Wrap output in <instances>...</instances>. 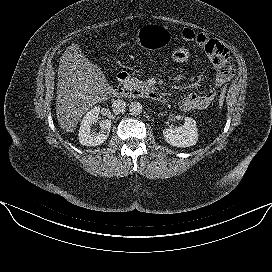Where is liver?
Instances as JSON below:
<instances>
[{"mask_svg":"<svg viewBox=\"0 0 272 272\" xmlns=\"http://www.w3.org/2000/svg\"><path fill=\"white\" fill-rule=\"evenodd\" d=\"M112 91L102 70L84 56L77 44L69 46L58 68L56 115L60 128L73 132L90 107L107 100Z\"/></svg>","mask_w":272,"mask_h":272,"instance_id":"1","label":"liver"}]
</instances>
